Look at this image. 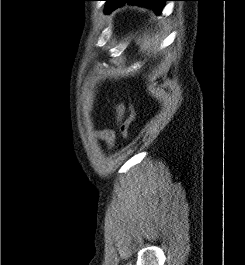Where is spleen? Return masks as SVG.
Masks as SVG:
<instances>
[{
  "label": "spleen",
  "instance_id": "3e777b00",
  "mask_svg": "<svg viewBox=\"0 0 245 265\" xmlns=\"http://www.w3.org/2000/svg\"><path fill=\"white\" fill-rule=\"evenodd\" d=\"M137 43L140 44L142 50L146 49L151 50L152 48L156 49V47H158L160 42L158 41V39H156V37L155 38L153 37L151 39L149 35H144L142 39H138Z\"/></svg>",
  "mask_w": 245,
  "mask_h": 265
}]
</instances>
